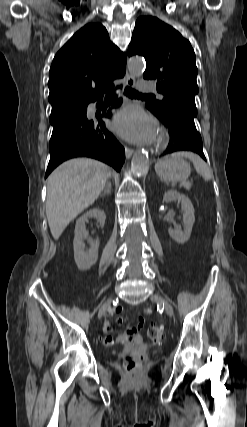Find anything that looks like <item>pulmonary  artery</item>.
<instances>
[{
    "mask_svg": "<svg viewBox=\"0 0 247 427\" xmlns=\"http://www.w3.org/2000/svg\"><path fill=\"white\" fill-rule=\"evenodd\" d=\"M139 88L142 91H155V87L149 82H142Z\"/></svg>",
    "mask_w": 247,
    "mask_h": 427,
    "instance_id": "obj_1",
    "label": "pulmonary artery"
}]
</instances>
